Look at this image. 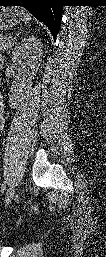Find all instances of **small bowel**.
I'll list each match as a JSON object with an SVG mask.
<instances>
[{
  "label": "small bowel",
  "instance_id": "obj_1",
  "mask_svg": "<svg viewBox=\"0 0 106 257\" xmlns=\"http://www.w3.org/2000/svg\"><path fill=\"white\" fill-rule=\"evenodd\" d=\"M0 122H1V129H2V125H3V118H2V108H1V115H0Z\"/></svg>",
  "mask_w": 106,
  "mask_h": 257
}]
</instances>
